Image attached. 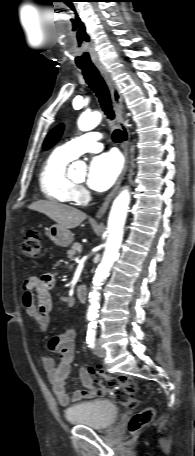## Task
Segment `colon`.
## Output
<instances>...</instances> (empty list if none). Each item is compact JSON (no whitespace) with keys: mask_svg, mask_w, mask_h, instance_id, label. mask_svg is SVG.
<instances>
[{"mask_svg":"<svg viewBox=\"0 0 195 456\" xmlns=\"http://www.w3.org/2000/svg\"><path fill=\"white\" fill-rule=\"evenodd\" d=\"M42 238L38 232L30 231L24 235L20 244L21 253L31 259H38L41 256ZM94 379L105 388L115 402L125 408H135L138 404L134 395V388L131 382L125 377L115 378L103 370L90 369ZM154 418V409L145 408L132 416L129 421V430L136 432L148 425Z\"/></svg>","mask_w":195,"mask_h":456,"instance_id":"5ec220e1","label":"colon"}]
</instances>
